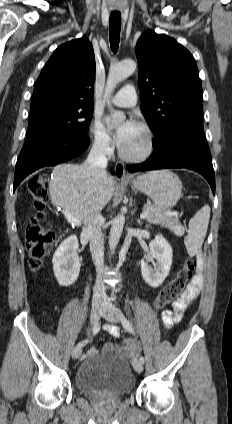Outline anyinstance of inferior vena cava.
Here are the masks:
<instances>
[{"instance_id": "602c4592", "label": "inferior vena cava", "mask_w": 232, "mask_h": 424, "mask_svg": "<svg viewBox=\"0 0 232 424\" xmlns=\"http://www.w3.org/2000/svg\"><path fill=\"white\" fill-rule=\"evenodd\" d=\"M107 142L95 141L86 160L85 168L96 183L106 179ZM103 218L99 210L84 219L83 234L89 236L92 260L97 270V278L93 288V303H101L106 299V287L101 278L104 265V237L101 230Z\"/></svg>"}]
</instances>
